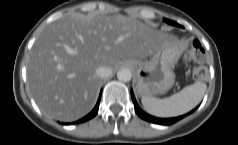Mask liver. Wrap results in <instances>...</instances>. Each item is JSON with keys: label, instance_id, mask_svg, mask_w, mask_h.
I'll list each match as a JSON object with an SVG mask.
<instances>
[{"label": "liver", "instance_id": "obj_1", "mask_svg": "<svg viewBox=\"0 0 238 145\" xmlns=\"http://www.w3.org/2000/svg\"><path fill=\"white\" fill-rule=\"evenodd\" d=\"M168 36L124 15L69 13L36 38L27 64V83L47 116L74 121L95 105L101 79L96 69L147 58Z\"/></svg>", "mask_w": 238, "mask_h": 145}]
</instances>
